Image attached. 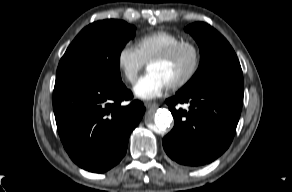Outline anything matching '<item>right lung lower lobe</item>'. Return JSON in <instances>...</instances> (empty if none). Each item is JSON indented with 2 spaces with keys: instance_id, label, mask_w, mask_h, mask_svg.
Listing matches in <instances>:
<instances>
[{
  "instance_id": "right-lung-lower-lobe-1",
  "label": "right lung lower lobe",
  "mask_w": 292,
  "mask_h": 192,
  "mask_svg": "<svg viewBox=\"0 0 292 192\" xmlns=\"http://www.w3.org/2000/svg\"><path fill=\"white\" fill-rule=\"evenodd\" d=\"M122 83L111 85L83 74L56 75L53 110L60 139L70 158L81 168L102 173L124 157L131 132L145 108L131 100Z\"/></svg>"
}]
</instances>
